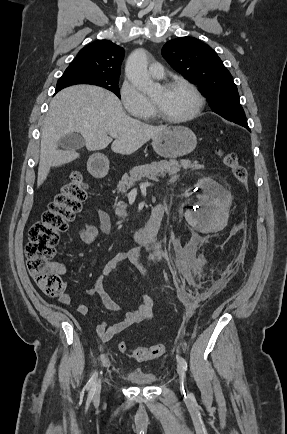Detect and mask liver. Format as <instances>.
I'll use <instances>...</instances> for the list:
<instances>
[{
    "label": "liver",
    "mask_w": 287,
    "mask_h": 434,
    "mask_svg": "<svg viewBox=\"0 0 287 434\" xmlns=\"http://www.w3.org/2000/svg\"><path fill=\"white\" fill-rule=\"evenodd\" d=\"M166 128L129 117L119 99L103 88L85 85L66 88L51 100L42 126L37 185L43 184L51 167L79 157L77 153L58 150V142L66 134L80 133L86 148L95 151L106 148L112 142L108 134L115 132L118 137L111 149L130 155Z\"/></svg>",
    "instance_id": "1"
}]
</instances>
